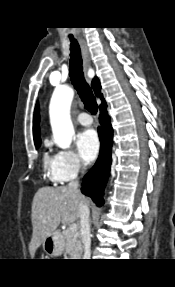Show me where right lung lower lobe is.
Returning a JSON list of instances; mask_svg holds the SVG:
<instances>
[{"label": "right lung lower lobe", "mask_w": 175, "mask_h": 287, "mask_svg": "<svg viewBox=\"0 0 175 287\" xmlns=\"http://www.w3.org/2000/svg\"><path fill=\"white\" fill-rule=\"evenodd\" d=\"M99 120L101 124V127L98 128L101 142L100 154L94 166L84 176L81 191L91 197L94 203L100 207L104 204L103 193L110 172L113 143V129L106 103L100 107Z\"/></svg>", "instance_id": "obj_1"}]
</instances>
